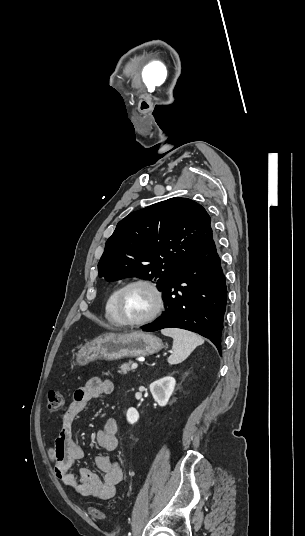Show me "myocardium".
<instances>
[{
	"label": "myocardium",
	"mask_w": 305,
	"mask_h": 536,
	"mask_svg": "<svg viewBox=\"0 0 305 536\" xmlns=\"http://www.w3.org/2000/svg\"><path fill=\"white\" fill-rule=\"evenodd\" d=\"M134 285H143V286L148 287L155 296L156 304H155L153 311L149 315H147L145 318L138 320V321H126L123 318V313H122L123 295L128 288ZM164 305H165L164 293L157 282L149 278H134L126 282L124 285L120 287L115 298V314L119 320L120 326L127 327V328H138L153 321L162 312Z\"/></svg>",
	"instance_id": "obj_1"
}]
</instances>
